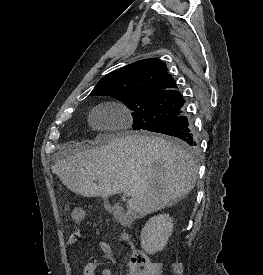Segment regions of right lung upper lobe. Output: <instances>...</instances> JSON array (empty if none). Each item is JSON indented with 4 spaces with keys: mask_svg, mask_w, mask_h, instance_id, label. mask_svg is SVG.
I'll list each match as a JSON object with an SVG mask.
<instances>
[{
    "mask_svg": "<svg viewBox=\"0 0 263 275\" xmlns=\"http://www.w3.org/2000/svg\"><path fill=\"white\" fill-rule=\"evenodd\" d=\"M177 84L158 59H144L103 77L92 92L123 90L134 95H179ZM91 92V93H92Z\"/></svg>",
    "mask_w": 263,
    "mask_h": 275,
    "instance_id": "cb5924a9",
    "label": "right lung upper lobe"
}]
</instances>
